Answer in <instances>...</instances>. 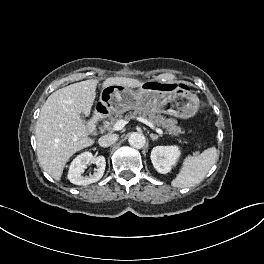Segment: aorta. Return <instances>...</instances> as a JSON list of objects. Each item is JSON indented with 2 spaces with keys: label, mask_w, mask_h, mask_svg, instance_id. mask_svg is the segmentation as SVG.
<instances>
[{
  "label": "aorta",
  "mask_w": 264,
  "mask_h": 264,
  "mask_svg": "<svg viewBox=\"0 0 264 264\" xmlns=\"http://www.w3.org/2000/svg\"><path fill=\"white\" fill-rule=\"evenodd\" d=\"M128 142L132 147L140 149L144 147L146 139L143 134L138 132H133L130 134Z\"/></svg>",
  "instance_id": "1"
}]
</instances>
